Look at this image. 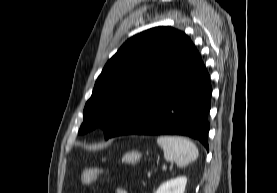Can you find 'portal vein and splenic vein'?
Here are the masks:
<instances>
[{
    "mask_svg": "<svg viewBox=\"0 0 277 193\" xmlns=\"http://www.w3.org/2000/svg\"><path fill=\"white\" fill-rule=\"evenodd\" d=\"M166 168H167V167H166L165 165L162 167L163 170H166ZM149 174H150V172H149Z\"/></svg>",
    "mask_w": 277,
    "mask_h": 193,
    "instance_id": "portal-vein-and-splenic-vein-1",
    "label": "portal vein and splenic vein"
}]
</instances>
